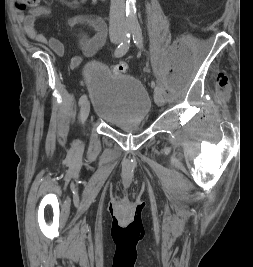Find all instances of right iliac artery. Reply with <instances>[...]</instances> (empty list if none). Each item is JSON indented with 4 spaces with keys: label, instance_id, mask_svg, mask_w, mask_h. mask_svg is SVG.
Listing matches in <instances>:
<instances>
[{
    "label": "right iliac artery",
    "instance_id": "82829eb1",
    "mask_svg": "<svg viewBox=\"0 0 253 267\" xmlns=\"http://www.w3.org/2000/svg\"><path fill=\"white\" fill-rule=\"evenodd\" d=\"M131 35H132V31L131 30H127L125 32L123 41L117 46V48L115 49V57H122L123 55H125L127 53V51L129 50L130 47V41H131ZM87 100V96L84 94L79 98V105H83V103Z\"/></svg>",
    "mask_w": 253,
    "mask_h": 267
}]
</instances>
